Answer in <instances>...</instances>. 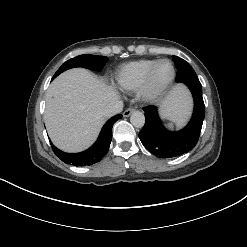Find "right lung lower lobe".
<instances>
[{"label":"right lung lower lobe","mask_w":247,"mask_h":247,"mask_svg":"<svg viewBox=\"0 0 247 247\" xmlns=\"http://www.w3.org/2000/svg\"><path fill=\"white\" fill-rule=\"evenodd\" d=\"M54 78H52L53 80ZM122 118V115H115L109 119L103 126L97 141L87 150L80 153H65L56 148L52 143V150L55 155L66 164L75 166L92 165L99 162L108 152L112 140L113 124Z\"/></svg>","instance_id":"obj_1"}]
</instances>
